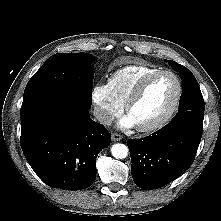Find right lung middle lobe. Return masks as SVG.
<instances>
[{
  "instance_id": "dd1d6c3e",
  "label": "right lung middle lobe",
  "mask_w": 221,
  "mask_h": 221,
  "mask_svg": "<svg viewBox=\"0 0 221 221\" xmlns=\"http://www.w3.org/2000/svg\"><path fill=\"white\" fill-rule=\"evenodd\" d=\"M94 60L86 53L51 56L28 81L23 96L20 118L40 104L65 99L90 108Z\"/></svg>"
}]
</instances>
